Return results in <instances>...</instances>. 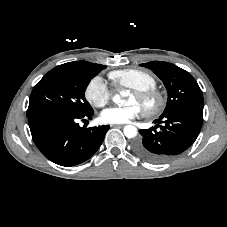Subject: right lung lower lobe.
Here are the masks:
<instances>
[{
	"instance_id": "right-lung-lower-lobe-1",
	"label": "right lung lower lobe",
	"mask_w": 227,
	"mask_h": 227,
	"mask_svg": "<svg viewBox=\"0 0 227 227\" xmlns=\"http://www.w3.org/2000/svg\"><path fill=\"white\" fill-rule=\"evenodd\" d=\"M93 114V110L84 114H34L28 117L33 141L45 157L58 165L80 164L99 149L109 129V126H79L78 119H92Z\"/></svg>"
}]
</instances>
